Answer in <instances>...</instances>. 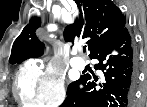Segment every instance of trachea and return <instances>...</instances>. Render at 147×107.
Segmentation results:
<instances>
[{
    "instance_id": "trachea-1",
    "label": "trachea",
    "mask_w": 147,
    "mask_h": 107,
    "mask_svg": "<svg viewBox=\"0 0 147 107\" xmlns=\"http://www.w3.org/2000/svg\"><path fill=\"white\" fill-rule=\"evenodd\" d=\"M83 50H84V51L86 50V46L83 47Z\"/></svg>"
}]
</instances>
